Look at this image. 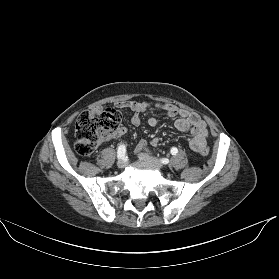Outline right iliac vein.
<instances>
[{
	"instance_id": "63e3f726",
	"label": "right iliac vein",
	"mask_w": 279,
	"mask_h": 279,
	"mask_svg": "<svg viewBox=\"0 0 279 279\" xmlns=\"http://www.w3.org/2000/svg\"><path fill=\"white\" fill-rule=\"evenodd\" d=\"M126 164H127V162H126L125 159H121V160H119V161L117 162V166H118V168H120V169H123V168L126 166Z\"/></svg>"
}]
</instances>
